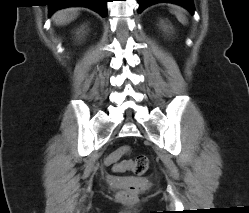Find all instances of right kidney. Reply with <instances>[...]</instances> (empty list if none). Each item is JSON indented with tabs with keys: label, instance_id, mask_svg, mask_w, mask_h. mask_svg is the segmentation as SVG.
<instances>
[{
	"label": "right kidney",
	"instance_id": "obj_1",
	"mask_svg": "<svg viewBox=\"0 0 249 213\" xmlns=\"http://www.w3.org/2000/svg\"><path fill=\"white\" fill-rule=\"evenodd\" d=\"M83 29H84V27H82V29H80V30L77 32V34L79 35V34H80V32H82V33H83Z\"/></svg>",
	"mask_w": 249,
	"mask_h": 213
}]
</instances>
